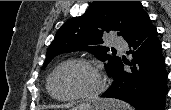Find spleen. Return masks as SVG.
Returning a JSON list of instances; mask_svg holds the SVG:
<instances>
[{
	"instance_id": "spleen-1",
	"label": "spleen",
	"mask_w": 171,
	"mask_h": 110,
	"mask_svg": "<svg viewBox=\"0 0 171 110\" xmlns=\"http://www.w3.org/2000/svg\"><path fill=\"white\" fill-rule=\"evenodd\" d=\"M122 110H132V108L131 107H129L128 105H126V104H122V108H121Z\"/></svg>"
}]
</instances>
